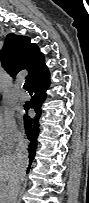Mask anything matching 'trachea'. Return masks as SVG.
Returning a JSON list of instances; mask_svg holds the SVG:
<instances>
[{"mask_svg":"<svg viewBox=\"0 0 89 203\" xmlns=\"http://www.w3.org/2000/svg\"><path fill=\"white\" fill-rule=\"evenodd\" d=\"M23 88L27 91H30L29 85L27 83L24 84Z\"/></svg>","mask_w":89,"mask_h":203,"instance_id":"trachea-1","label":"trachea"}]
</instances>
